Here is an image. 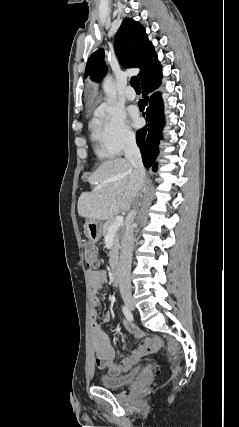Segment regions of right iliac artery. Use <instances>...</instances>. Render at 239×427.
<instances>
[{
	"label": "right iliac artery",
	"instance_id": "82829eb1",
	"mask_svg": "<svg viewBox=\"0 0 239 427\" xmlns=\"http://www.w3.org/2000/svg\"><path fill=\"white\" fill-rule=\"evenodd\" d=\"M122 310H123V313H124L125 317H126L129 321H132V320H133V315H132V313L130 312V310H129L126 306H122Z\"/></svg>",
	"mask_w": 239,
	"mask_h": 427
}]
</instances>
